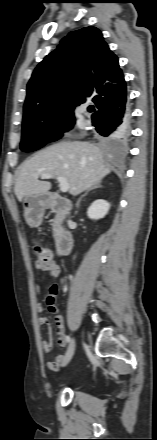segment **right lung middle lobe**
<instances>
[{
    "label": "right lung middle lobe",
    "instance_id": "1",
    "mask_svg": "<svg viewBox=\"0 0 157 440\" xmlns=\"http://www.w3.org/2000/svg\"><path fill=\"white\" fill-rule=\"evenodd\" d=\"M74 121H56L51 123L33 122L22 127L20 149L31 152L62 137L63 132L72 128ZM121 140V139H119ZM104 141H118L112 137H105Z\"/></svg>",
    "mask_w": 157,
    "mask_h": 440
}]
</instances>
